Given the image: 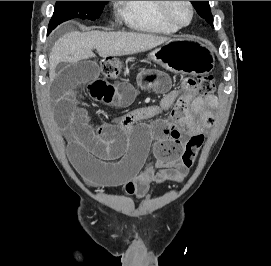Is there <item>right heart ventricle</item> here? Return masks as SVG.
Listing matches in <instances>:
<instances>
[{"mask_svg": "<svg viewBox=\"0 0 271 266\" xmlns=\"http://www.w3.org/2000/svg\"><path fill=\"white\" fill-rule=\"evenodd\" d=\"M118 13L135 30L173 34L178 31L162 13V1H117Z\"/></svg>", "mask_w": 271, "mask_h": 266, "instance_id": "right-heart-ventricle-1", "label": "right heart ventricle"}]
</instances>
